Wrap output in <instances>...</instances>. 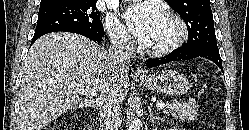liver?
<instances>
[{"label": "liver", "instance_id": "1", "mask_svg": "<svg viewBox=\"0 0 249 130\" xmlns=\"http://www.w3.org/2000/svg\"><path fill=\"white\" fill-rule=\"evenodd\" d=\"M128 72V66L114 65L109 51L84 36H42L23 64L19 130H43L67 110L95 106L108 96L122 101L129 91ZM78 86L92 94L80 93Z\"/></svg>", "mask_w": 249, "mask_h": 130}]
</instances>
